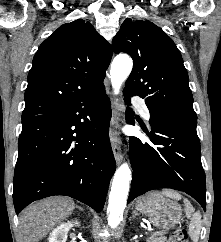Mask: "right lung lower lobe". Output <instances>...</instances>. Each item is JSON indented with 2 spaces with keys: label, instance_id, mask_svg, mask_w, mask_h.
<instances>
[{
  "label": "right lung lower lobe",
  "instance_id": "1",
  "mask_svg": "<svg viewBox=\"0 0 221 242\" xmlns=\"http://www.w3.org/2000/svg\"><path fill=\"white\" fill-rule=\"evenodd\" d=\"M104 85L67 107L22 119L13 201L16 213L53 195L103 209L116 163Z\"/></svg>",
  "mask_w": 221,
  "mask_h": 242
}]
</instances>
